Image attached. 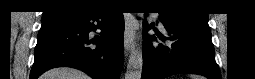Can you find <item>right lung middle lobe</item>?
<instances>
[{
  "instance_id": "right-lung-middle-lobe-1",
  "label": "right lung middle lobe",
  "mask_w": 255,
  "mask_h": 79,
  "mask_svg": "<svg viewBox=\"0 0 255 79\" xmlns=\"http://www.w3.org/2000/svg\"><path fill=\"white\" fill-rule=\"evenodd\" d=\"M65 15H67V14H60V15H56V16L42 18V22H45L47 20H51V19L56 18V17L65 16Z\"/></svg>"
}]
</instances>
